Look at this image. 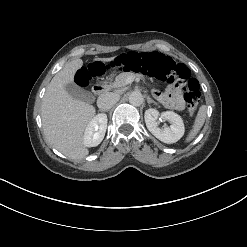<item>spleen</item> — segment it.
I'll use <instances>...</instances> for the list:
<instances>
[{"instance_id":"3e777b00","label":"spleen","mask_w":247,"mask_h":247,"mask_svg":"<svg viewBox=\"0 0 247 247\" xmlns=\"http://www.w3.org/2000/svg\"><path fill=\"white\" fill-rule=\"evenodd\" d=\"M206 113H207V107L205 105H202L199 108V111H198L197 116L195 118L192 129L190 130V132L186 138V142H190L191 140H193L197 136V134L201 130L202 126L204 125Z\"/></svg>"}]
</instances>
